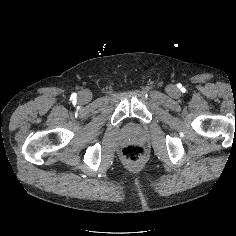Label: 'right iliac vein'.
Masks as SVG:
<instances>
[{"label":"right iliac vein","mask_w":236,"mask_h":236,"mask_svg":"<svg viewBox=\"0 0 236 236\" xmlns=\"http://www.w3.org/2000/svg\"><path fill=\"white\" fill-rule=\"evenodd\" d=\"M77 99L79 103L86 104L91 100V94L89 91L83 90L79 92Z\"/></svg>","instance_id":"63e3f726"}]
</instances>
